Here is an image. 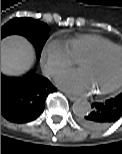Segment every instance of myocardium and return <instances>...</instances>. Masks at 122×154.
<instances>
[{
  "instance_id": "f54148a6",
  "label": "myocardium",
  "mask_w": 122,
  "mask_h": 154,
  "mask_svg": "<svg viewBox=\"0 0 122 154\" xmlns=\"http://www.w3.org/2000/svg\"><path fill=\"white\" fill-rule=\"evenodd\" d=\"M112 51H120V52H122V46H117V45L109 46V47L103 48L101 50H98V51H96L94 53L88 54V55L84 56L81 59H84V60H98V59H101L103 56H105L106 54H108V53H110ZM120 87H122V75L112 85L108 86L107 88H105L103 90L94 91V93L96 95H98V96H102V95L112 93V92L118 90Z\"/></svg>"
}]
</instances>
